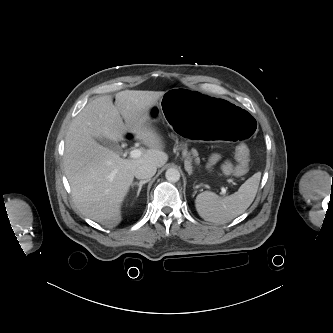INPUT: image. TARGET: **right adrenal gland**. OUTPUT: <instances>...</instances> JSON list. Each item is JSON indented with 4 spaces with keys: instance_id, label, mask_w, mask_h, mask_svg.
<instances>
[{
    "instance_id": "1",
    "label": "right adrenal gland",
    "mask_w": 333,
    "mask_h": 333,
    "mask_svg": "<svg viewBox=\"0 0 333 333\" xmlns=\"http://www.w3.org/2000/svg\"><path fill=\"white\" fill-rule=\"evenodd\" d=\"M149 181H150V179H148V180H143V181H140V182H135V183H133V184L131 185L132 188H134L135 186H138L137 196H136V197L139 196L140 191H141V189H142V186H143L144 184L148 183Z\"/></svg>"
}]
</instances>
